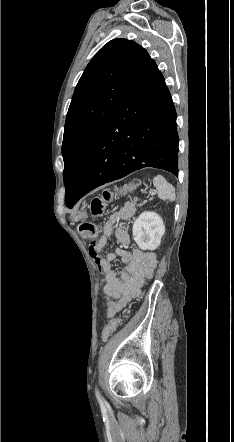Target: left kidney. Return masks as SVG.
I'll return each mask as SVG.
<instances>
[{
  "label": "left kidney",
  "instance_id": "5707ae66",
  "mask_svg": "<svg viewBox=\"0 0 234 442\" xmlns=\"http://www.w3.org/2000/svg\"><path fill=\"white\" fill-rule=\"evenodd\" d=\"M165 234L162 218L155 212H143L133 224V238L140 249L155 250Z\"/></svg>",
  "mask_w": 234,
  "mask_h": 442
}]
</instances>
